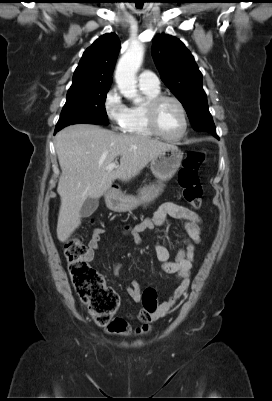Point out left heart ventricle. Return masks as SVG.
I'll return each mask as SVG.
<instances>
[{
    "label": "left heart ventricle",
    "mask_w": 272,
    "mask_h": 401,
    "mask_svg": "<svg viewBox=\"0 0 272 401\" xmlns=\"http://www.w3.org/2000/svg\"><path fill=\"white\" fill-rule=\"evenodd\" d=\"M160 129L168 136L174 137L182 133L184 121L178 105L172 101L162 104L158 113Z\"/></svg>",
    "instance_id": "obj_1"
}]
</instances>
